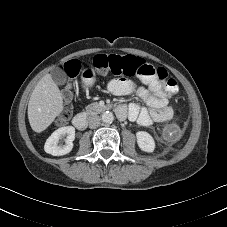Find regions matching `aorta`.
I'll return each mask as SVG.
<instances>
[{
  "label": "aorta",
  "instance_id": "1",
  "mask_svg": "<svg viewBox=\"0 0 227 227\" xmlns=\"http://www.w3.org/2000/svg\"><path fill=\"white\" fill-rule=\"evenodd\" d=\"M101 120L106 124H111L114 120V115L109 111L103 112L101 115Z\"/></svg>",
  "mask_w": 227,
  "mask_h": 227
}]
</instances>
